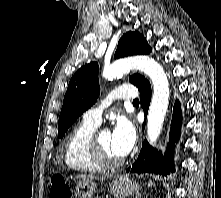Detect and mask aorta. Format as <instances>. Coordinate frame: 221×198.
<instances>
[{
  "label": "aorta",
  "mask_w": 221,
  "mask_h": 198,
  "mask_svg": "<svg viewBox=\"0 0 221 198\" xmlns=\"http://www.w3.org/2000/svg\"><path fill=\"white\" fill-rule=\"evenodd\" d=\"M137 69L148 75L153 84V97L147 117V137L150 144L154 145L160 135L169 102V83L162 66L154 59L147 56H136L119 60L105 67L102 75L105 79L112 80Z\"/></svg>",
  "instance_id": "1"
}]
</instances>
